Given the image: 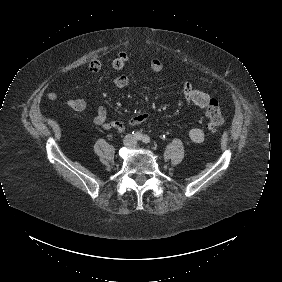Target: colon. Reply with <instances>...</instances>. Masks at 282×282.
Here are the masks:
<instances>
[{
    "label": "colon",
    "instance_id": "1",
    "mask_svg": "<svg viewBox=\"0 0 282 282\" xmlns=\"http://www.w3.org/2000/svg\"><path fill=\"white\" fill-rule=\"evenodd\" d=\"M207 126L210 130L215 131L223 124L222 109L217 100L208 101L206 110Z\"/></svg>",
    "mask_w": 282,
    "mask_h": 282
}]
</instances>
